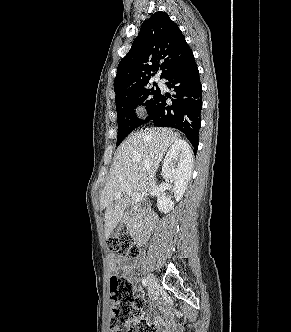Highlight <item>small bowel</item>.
I'll return each instance as SVG.
<instances>
[{"label":"small bowel","mask_w":291,"mask_h":332,"mask_svg":"<svg viewBox=\"0 0 291 332\" xmlns=\"http://www.w3.org/2000/svg\"><path fill=\"white\" fill-rule=\"evenodd\" d=\"M109 261H110L111 268L113 271H122L124 274H126L128 276H132L133 267L130 264H128L114 256H110ZM154 321L158 325H162L164 327H166V325H167L165 322L162 321V319L159 316H156L154 318Z\"/></svg>","instance_id":"1"}]
</instances>
